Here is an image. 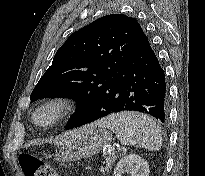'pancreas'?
Wrapping results in <instances>:
<instances>
[{
    "mask_svg": "<svg viewBox=\"0 0 205 176\" xmlns=\"http://www.w3.org/2000/svg\"><path fill=\"white\" fill-rule=\"evenodd\" d=\"M105 166L100 168L102 173L109 174L110 170L112 169L113 164L115 163L116 157L115 156H106L105 157Z\"/></svg>",
    "mask_w": 205,
    "mask_h": 176,
    "instance_id": "pancreas-1",
    "label": "pancreas"
}]
</instances>
